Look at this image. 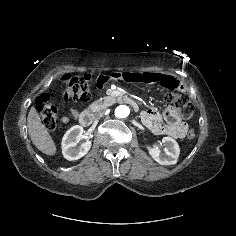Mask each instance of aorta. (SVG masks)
<instances>
[{
    "instance_id": "aorta-1",
    "label": "aorta",
    "mask_w": 236,
    "mask_h": 236,
    "mask_svg": "<svg viewBox=\"0 0 236 236\" xmlns=\"http://www.w3.org/2000/svg\"><path fill=\"white\" fill-rule=\"evenodd\" d=\"M130 114V109L126 105H119L116 107L114 115L119 119L127 118Z\"/></svg>"
}]
</instances>
